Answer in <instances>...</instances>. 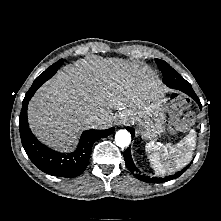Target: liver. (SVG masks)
<instances>
[{"label":"liver","mask_w":221,"mask_h":221,"mask_svg":"<svg viewBox=\"0 0 221 221\" xmlns=\"http://www.w3.org/2000/svg\"><path fill=\"white\" fill-rule=\"evenodd\" d=\"M165 89L154 73L122 59L93 56L67 65L47 81L28 106L33 133L45 144L69 151L91 115L98 129L112 126L113 109L143 107Z\"/></svg>","instance_id":"obj_1"}]
</instances>
